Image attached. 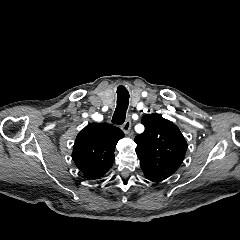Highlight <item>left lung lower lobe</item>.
<instances>
[{
    "label": "left lung lower lobe",
    "mask_w": 240,
    "mask_h": 240,
    "mask_svg": "<svg viewBox=\"0 0 240 240\" xmlns=\"http://www.w3.org/2000/svg\"><path fill=\"white\" fill-rule=\"evenodd\" d=\"M144 172V175L145 177L150 180L151 182H155V183H159V182H162L164 179L155 175V174H152L148 171H143Z\"/></svg>",
    "instance_id": "0a47b994"
}]
</instances>
